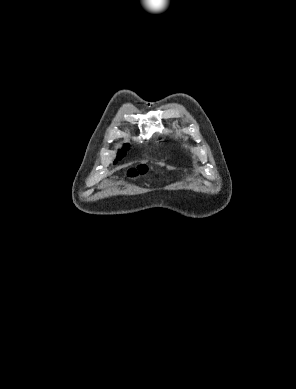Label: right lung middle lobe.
<instances>
[{"label":"right lung middle lobe","instance_id":"right-lung-middle-lobe-1","mask_svg":"<svg viewBox=\"0 0 296 389\" xmlns=\"http://www.w3.org/2000/svg\"><path fill=\"white\" fill-rule=\"evenodd\" d=\"M129 147H128V144L125 145V147L123 148V150H121L119 153H118V156H117V160H120L122 157L125 156V153H126V150H128Z\"/></svg>","mask_w":296,"mask_h":389}]
</instances>
